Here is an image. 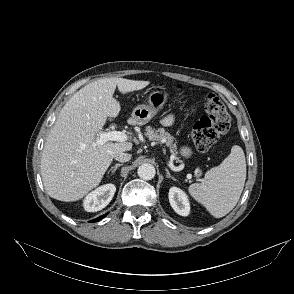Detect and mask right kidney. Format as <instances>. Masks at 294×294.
<instances>
[{"label":"right kidney","instance_id":"obj_1","mask_svg":"<svg viewBox=\"0 0 294 294\" xmlns=\"http://www.w3.org/2000/svg\"><path fill=\"white\" fill-rule=\"evenodd\" d=\"M116 191L113 184H106L90 192L83 201V207L87 212H97L105 208L112 200Z\"/></svg>","mask_w":294,"mask_h":294}]
</instances>
